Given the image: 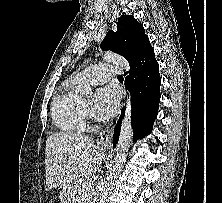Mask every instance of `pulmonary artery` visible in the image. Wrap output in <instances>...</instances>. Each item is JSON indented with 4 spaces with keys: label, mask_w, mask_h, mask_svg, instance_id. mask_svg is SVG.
Instances as JSON below:
<instances>
[{
    "label": "pulmonary artery",
    "mask_w": 222,
    "mask_h": 203,
    "mask_svg": "<svg viewBox=\"0 0 222 203\" xmlns=\"http://www.w3.org/2000/svg\"><path fill=\"white\" fill-rule=\"evenodd\" d=\"M120 74V68L109 63L92 65L77 73L75 79L80 83L101 84L109 80L112 76Z\"/></svg>",
    "instance_id": "obj_1"
}]
</instances>
